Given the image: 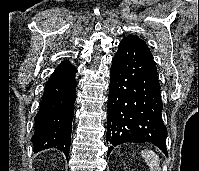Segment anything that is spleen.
<instances>
[{
    "mask_svg": "<svg viewBox=\"0 0 199 171\" xmlns=\"http://www.w3.org/2000/svg\"><path fill=\"white\" fill-rule=\"evenodd\" d=\"M146 164L149 166L150 171H160L159 157L151 150H144L141 152Z\"/></svg>",
    "mask_w": 199,
    "mask_h": 171,
    "instance_id": "3e777b00",
    "label": "spleen"
}]
</instances>
